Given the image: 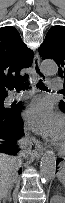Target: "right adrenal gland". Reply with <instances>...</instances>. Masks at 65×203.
Returning <instances> with one entry per match:
<instances>
[{
  "label": "right adrenal gland",
  "instance_id": "right-adrenal-gland-1",
  "mask_svg": "<svg viewBox=\"0 0 65 203\" xmlns=\"http://www.w3.org/2000/svg\"><path fill=\"white\" fill-rule=\"evenodd\" d=\"M6 201H8L9 203H11V201H12V198H11V191H9L8 196L3 199L2 203H6Z\"/></svg>",
  "mask_w": 65,
  "mask_h": 203
}]
</instances>
